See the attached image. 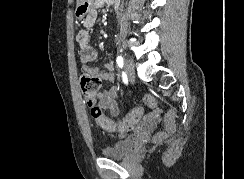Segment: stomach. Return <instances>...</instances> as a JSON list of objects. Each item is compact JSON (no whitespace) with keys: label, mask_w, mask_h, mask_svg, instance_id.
I'll use <instances>...</instances> for the list:
<instances>
[{"label":"stomach","mask_w":244,"mask_h":179,"mask_svg":"<svg viewBox=\"0 0 244 179\" xmlns=\"http://www.w3.org/2000/svg\"><path fill=\"white\" fill-rule=\"evenodd\" d=\"M91 4L92 0H79V4H77L75 12V16L78 20H83L85 14L89 12Z\"/></svg>","instance_id":"obj_1"}]
</instances>
